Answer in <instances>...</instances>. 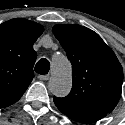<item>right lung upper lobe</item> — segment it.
Masks as SVG:
<instances>
[{
	"instance_id": "obj_1",
	"label": "right lung upper lobe",
	"mask_w": 125,
	"mask_h": 125,
	"mask_svg": "<svg viewBox=\"0 0 125 125\" xmlns=\"http://www.w3.org/2000/svg\"><path fill=\"white\" fill-rule=\"evenodd\" d=\"M43 31L24 18L0 24V108L17 102L31 83L37 58L33 44Z\"/></svg>"
}]
</instances>
